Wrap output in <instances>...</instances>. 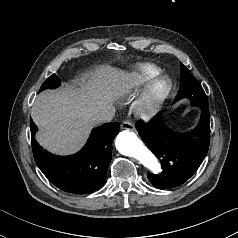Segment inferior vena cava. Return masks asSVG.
I'll use <instances>...</instances> for the list:
<instances>
[{
    "label": "inferior vena cava",
    "mask_w": 238,
    "mask_h": 238,
    "mask_svg": "<svg viewBox=\"0 0 238 238\" xmlns=\"http://www.w3.org/2000/svg\"><path fill=\"white\" fill-rule=\"evenodd\" d=\"M114 112H115L114 109L104 110V111L100 112L99 114H97L95 116L94 120L97 124H103L106 122H110L114 117Z\"/></svg>",
    "instance_id": "1"
}]
</instances>
